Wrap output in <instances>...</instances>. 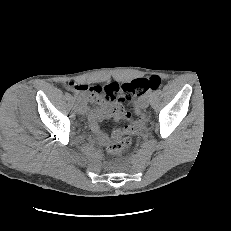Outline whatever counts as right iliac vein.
Instances as JSON below:
<instances>
[{"label":"right iliac vein","instance_id":"63e3f726","mask_svg":"<svg viewBox=\"0 0 231 231\" xmlns=\"http://www.w3.org/2000/svg\"><path fill=\"white\" fill-rule=\"evenodd\" d=\"M77 111L81 115H84L86 113L87 106L83 101H78V103H77Z\"/></svg>","mask_w":231,"mask_h":231}]
</instances>
